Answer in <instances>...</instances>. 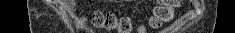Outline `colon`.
Masks as SVG:
<instances>
[{
	"instance_id": "colon-1",
	"label": "colon",
	"mask_w": 235,
	"mask_h": 33,
	"mask_svg": "<svg viewBox=\"0 0 235 33\" xmlns=\"http://www.w3.org/2000/svg\"><path fill=\"white\" fill-rule=\"evenodd\" d=\"M179 4V0L160 1L150 18V26L157 29L164 23L170 22L173 18V8ZM85 22H89L95 28L115 30L118 33H129L131 31V22L128 18H118L112 13L95 12ZM141 33H144L143 29H141Z\"/></svg>"
}]
</instances>
